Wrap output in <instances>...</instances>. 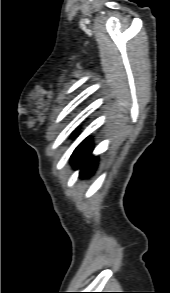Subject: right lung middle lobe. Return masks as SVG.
<instances>
[{
  "instance_id": "right-lung-middle-lobe-1",
  "label": "right lung middle lobe",
  "mask_w": 170,
  "mask_h": 293,
  "mask_svg": "<svg viewBox=\"0 0 170 293\" xmlns=\"http://www.w3.org/2000/svg\"><path fill=\"white\" fill-rule=\"evenodd\" d=\"M89 138L85 139L74 151V153L72 154L71 158L74 161L82 152V150L84 149V147L87 145V143L89 142Z\"/></svg>"
}]
</instances>
